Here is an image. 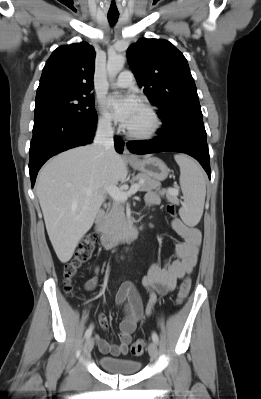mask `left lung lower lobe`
<instances>
[{
    "label": "left lung lower lobe",
    "instance_id": "left-lung-lower-lobe-1",
    "mask_svg": "<svg viewBox=\"0 0 261 399\" xmlns=\"http://www.w3.org/2000/svg\"><path fill=\"white\" fill-rule=\"evenodd\" d=\"M159 135L151 140L128 142L130 152L149 154L157 152L186 153L202 165L211 178L209 150L206 141V131L202 117L185 120L168 131L159 130Z\"/></svg>",
    "mask_w": 261,
    "mask_h": 399
}]
</instances>
